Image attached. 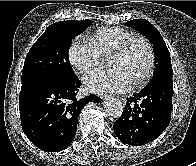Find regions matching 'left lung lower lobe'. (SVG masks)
I'll return each mask as SVG.
<instances>
[{"mask_svg": "<svg viewBox=\"0 0 196 166\" xmlns=\"http://www.w3.org/2000/svg\"><path fill=\"white\" fill-rule=\"evenodd\" d=\"M172 94V77H169L153 80L127 98L121 117L113 125L120 141L141 146L156 139L170 123Z\"/></svg>", "mask_w": 196, "mask_h": 166, "instance_id": "1", "label": "left lung lower lobe"}]
</instances>
